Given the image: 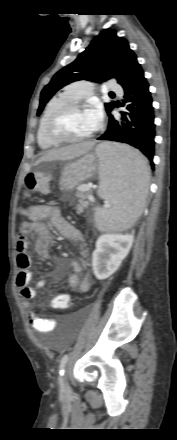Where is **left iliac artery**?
<instances>
[{"label": "left iliac artery", "mask_w": 177, "mask_h": 440, "mask_svg": "<svg viewBox=\"0 0 177 440\" xmlns=\"http://www.w3.org/2000/svg\"><path fill=\"white\" fill-rule=\"evenodd\" d=\"M68 361V355H64L60 361V365H59V383L61 386H63V375H64V367L66 365Z\"/></svg>", "instance_id": "1"}]
</instances>
